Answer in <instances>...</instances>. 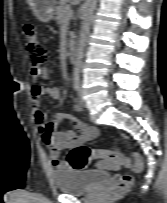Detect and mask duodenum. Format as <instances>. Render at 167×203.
Instances as JSON below:
<instances>
[{"mask_svg":"<svg viewBox=\"0 0 167 203\" xmlns=\"http://www.w3.org/2000/svg\"><path fill=\"white\" fill-rule=\"evenodd\" d=\"M66 56L70 62L75 61V58H76V47H75V45L71 44L68 46Z\"/></svg>","mask_w":167,"mask_h":203,"instance_id":"410a0bca","label":"duodenum"}]
</instances>
